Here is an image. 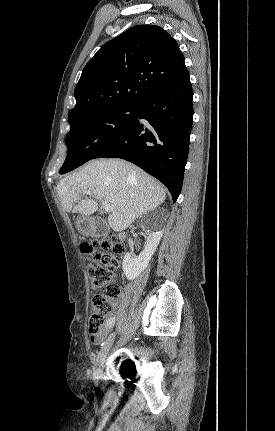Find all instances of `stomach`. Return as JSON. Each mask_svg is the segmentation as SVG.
Returning <instances> with one entry per match:
<instances>
[{
    "label": "stomach",
    "instance_id": "0dacf381",
    "mask_svg": "<svg viewBox=\"0 0 275 431\" xmlns=\"http://www.w3.org/2000/svg\"><path fill=\"white\" fill-rule=\"evenodd\" d=\"M76 227L82 235L88 236V235H92L94 233L93 225L91 224L89 219H87L83 216L77 218Z\"/></svg>",
    "mask_w": 275,
    "mask_h": 431
}]
</instances>
